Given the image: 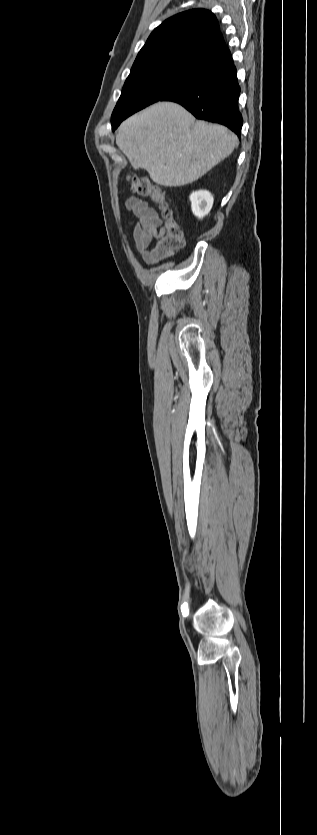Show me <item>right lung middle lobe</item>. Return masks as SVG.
<instances>
[{
	"mask_svg": "<svg viewBox=\"0 0 317 835\" xmlns=\"http://www.w3.org/2000/svg\"><path fill=\"white\" fill-rule=\"evenodd\" d=\"M205 78L206 74L191 58L131 72L111 117L112 130L131 114Z\"/></svg>",
	"mask_w": 317,
	"mask_h": 835,
	"instance_id": "right-lung-middle-lobe-1",
	"label": "right lung middle lobe"
}]
</instances>
